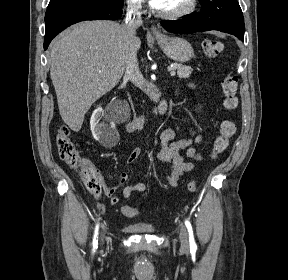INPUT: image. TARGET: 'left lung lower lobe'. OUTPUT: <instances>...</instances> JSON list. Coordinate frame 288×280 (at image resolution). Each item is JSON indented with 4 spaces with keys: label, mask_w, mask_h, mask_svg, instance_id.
Returning a JSON list of instances; mask_svg holds the SVG:
<instances>
[{
    "label": "left lung lower lobe",
    "mask_w": 288,
    "mask_h": 280,
    "mask_svg": "<svg viewBox=\"0 0 288 280\" xmlns=\"http://www.w3.org/2000/svg\"><path fill=\"white\" fill-rule=\"evenodd\" d=\"M161 25L167 31L173 33L189 34L209 30H219L221 32L232 34L241 41L244 40V31H240L227 23L210 18L202 12H194L180 20H164L161 21Z\"/></svg>",
    "instance_id": "obj_1"
}]
</instances>
